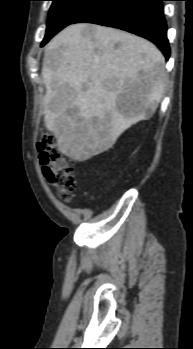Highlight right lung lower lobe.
Returning <instances> with one entry per match:
<instances>
[{
	"instance_id": "1",
	"label": "right lung lower lobe",
	"mask_w": 193,
	"mask_h": 349,
	"mask_svg": "<svg viewBox=\"0 0 193 349\" xmlns=\"http://www.w3.org/2000/svg\"><path fill=\"white\" fill-rule=\"evenodd\" d=\"M164 0H99L72 23H94L119 28L144 37L169 58Z\"/></svg>"
}]
</instances>
